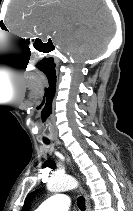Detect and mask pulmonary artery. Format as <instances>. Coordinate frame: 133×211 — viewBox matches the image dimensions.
I'll return each instance as SVG.
<instances>
[{
    "label": "pulmonary artery",
    "instance_id": "obj_1",
    "mask_svg": "<svg viewBox=\"0 0 133 211\" xmlns=\"http://www.w3.org/2000/svg\"><path fill=\"white\" fill-rule=\"evenodd\" d=\"M70 199L66 194H55L45 200L35 211H68Z\"/></svg>",
    "mask_w": 133,
    "mask_h": 211
}]
</instances>
